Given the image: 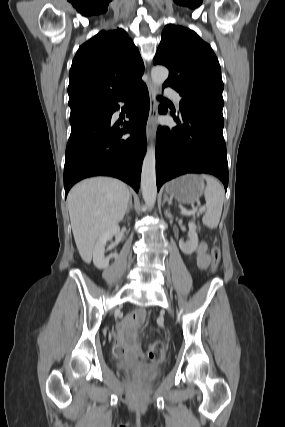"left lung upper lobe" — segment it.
I'll list each match as a JSON object with an SVG mask.
<instances>
[{"label": "left lung upper lobe", "mask_w": 285, "mask_h": 427, "mask_svg": "<svg viewBox=\"0 0 285 427\" xmlns=\"http://www.w3.org/2000/svg\"><path fill=\"white\" fill-rule=\"evenodd\" d=\"M153 63L169 69L164 86L174 88L183 97L181 113L212 110L222 114L223 81L218 59L210 45L194 31L167 25Z\"/></svg>", "instance_id": "left-lung-upper-lobe-1"}]
</instances>
